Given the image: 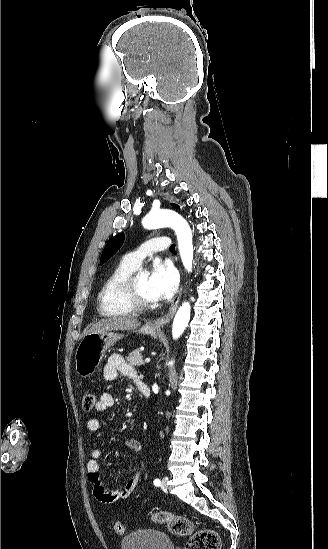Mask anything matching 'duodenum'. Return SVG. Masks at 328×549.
<instances>
[{
  "mask_svg": "<svg viewBox=\"0 0 328 549\" xmlns=\"http://www.w3.org/2000/svg\"><path fill=\"white\" fill-rule=\"evenodd\" d=\"M134 380H135V384H136V387L139 390V392L143 396L148 398L150 396V393H151L149 386L145 382L140 380L138 377H136Z\"/></svg>",
  "mask_w": 328,
  "mask_h": 549,
  "instance_id": "1",
  "label": "duodenum"
}]
</instances>
